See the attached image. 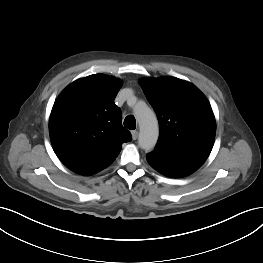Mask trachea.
Wrapping results in <instances>:
<instances>
[{"instance_id": "3493384b", "label": "trachea", "mask_w": 263, "mask_h": 263, "mask_svg": "<svg viewBox=\"0 0 263 263\" xmlns=\"http://www.w3.org/2000/svg\"><path fill=\"white\" fill-rule=\"evenodd\" d=\"M124 126L130 130H134L136 128V120L135 117L129 115L124 120Z\"/></svg>"}]
</instances>
